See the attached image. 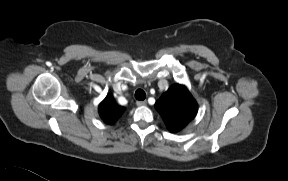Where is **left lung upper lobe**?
<instances>
[{"label": "left lung upper lobe", "mask_w": 288, "mask_h": 181, "mask_svg": "<svg viewBox=\"0 0 288 181\" xmlns=\"http://www.w3.org/2000/svg\"><path fill=\"white\" fill-rule=\"evenodd\" d=\"M170 132L182 130L196 115L197 104L184 85H172L155 103Z\"/></svg>", "instance_id": "left-lung-upper-lobe-1"}]
</instances>
